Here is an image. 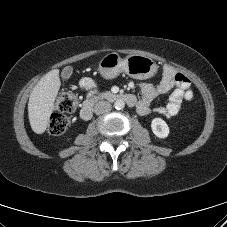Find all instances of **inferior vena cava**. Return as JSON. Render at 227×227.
Listing matches in <instances>:
<instances>
[{
    "label": "inferior vena cava",
    "instance_id": "602c4592",
    "mask_svg": "<svg viewBox=\"0 0 227 227\" xmlns=\"http://www.w3.org/2000/svg\"><path fill=\"white\" fill-rule=\"evenodd\" d=\"M112 106L109 102L107 101H99L98 103L95 104L94 106V112L96 114H103L107 113L111 110Z\"/></svg>",
    "mask_w": 227,
    "mask_h": 227
}]
</instances>
